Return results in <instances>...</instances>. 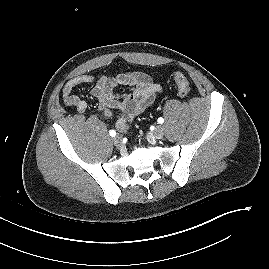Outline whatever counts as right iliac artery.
Segmentation results:
<instances>
[{
  "instance_id": "right-iliac-artery-1",
  "label": "right iliac artery",
  "mask_w": 269,
  "mask_h": 269,
  "mask_svg": "<svg viewBox=\"0 0 269 269\" xmlns=\"http://www.w3.org/2000/svg\"><path fill=\"white\" fill-rule=\"evenodd\" d=\"M109 134H110V136H112V137H113V136H115V135H116V132H115L114 130H110V131H109Z\"/></svg>"
}]
</instances>
